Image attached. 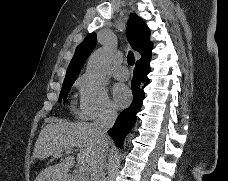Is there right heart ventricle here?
<instances>
[{"mask_svg":"<svg viewBox=\"0 0 228 181\" xmlns=\"http://www.w3.org/2000/svg\"><path fill=\"white\" fill-rule=\"evenodd\" d=\"M82 81L80 79H78L77 81H75L74 86H81Z\"/></svg>","mask_w":228,"mask_h":181,"instance_id":"e07e8e85","label":"right heart ventricle"}]
</instances>
